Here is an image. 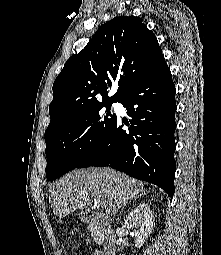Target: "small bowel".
<instances>
[{
    "label": "small bowel",
    "instance_id": "1",
    "mask_svg": "<svg viewBox=\"0 0 221 255\" xmlns=\"http://www.w3.org/2000/svg\"><path fill=\"white\" fill-rule=\"evenodd\" d=\"M90 255H103L101 251H94Z\"/></svg>",
    "mask_w": 221,
    "mask_h": 255
}]
</instances>
